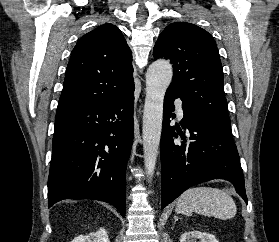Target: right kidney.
Here are the masks:
<instances>
[{"label":"right kidney","instance_id":"right-kidney-1","mask_svg":"<svg viewBox=\"0 0 279 242\" xmlns=\"http://www.w3.org/2000/svg\"><path fill=\"white\" fill-rule=\"evenodd\" d=\"M72 242H110L107 232L104 228H100L98 231L90 233L89 235H79L74 238Z\"/></svg>","mask_w":279,"mask_h":242}]
</instances>
